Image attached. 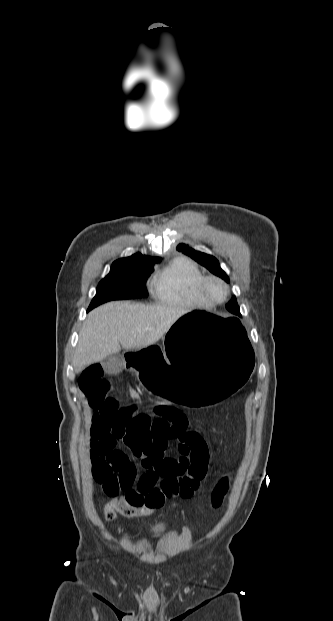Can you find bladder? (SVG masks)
Listing matches in <instances>:
<instances>
[{"label":"bladder","mask_w":333,"mask_h":621,"mask_svg":"<svg viewBox=\"0 0 333 621\" xmlns=\"http://www.w3.org/2000/svg\"><path fill=\"white\" fill-rule=\"evenodd\" d=\"M165 529H166V524H164V523H159V524L155 525V526L151 529V533H152V534H159V533H162Z\"/></svg>","instance_id":"31cf9c89"}]
</instances>
